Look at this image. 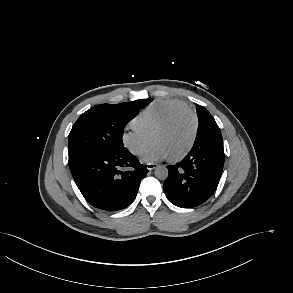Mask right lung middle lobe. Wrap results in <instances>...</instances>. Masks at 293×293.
<instances>
[{"instance_id":"dd1d6c3e","label":"right lung middle lobe","mask_w":293,"mask_h":293,"mask_svg":"<svg viewBox=\"0 0 293 293\" xmlns=\"http://www.w3.org/2000/svg\"><path fill=\"white\" fill-rule=\"evenodd\" d=\"M153 99L102 104L84 112L68 136L69 167L116 148H123V129Z\"/></svg>"}]
</instances>
